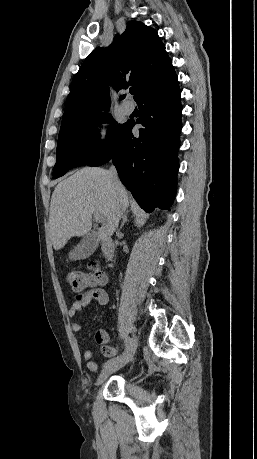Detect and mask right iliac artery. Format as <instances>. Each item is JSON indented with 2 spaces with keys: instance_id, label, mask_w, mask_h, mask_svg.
<instances>
[{
  "instance_id": "obj_1",
  "label": "right iliac artery",
  "mask_w": 257,
  "mask_h": 459,
  "mask_svg": "<svg viewBox=\"0 0 257 459\" xmlns=\"http://www.w3.org/2000/svg\"><path fill=\"white\" fill-rule=\"evenodd\" d=\"M124 343H125V350H124V352H123L121 355H119V356H117V357H114V358L108 360V361L103 365V367L106 368L107 366H109V365H111V364L117 362L118 360H120V359L128 352V350H129V348H130V346H131V344H132V338L126 337V338L124 339Z\"/></svg>"
}]
</instances>
